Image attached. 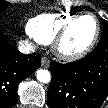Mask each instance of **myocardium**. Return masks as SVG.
Instances as JSON below:
<instances>
[{"instance_id":"myocardium-1","label":"myocardium","mask_w":108,"mask_h":108,"mask_svg":"<svg viewBox=\"0 0 108 108\" xmlns=\"http://www.w3.org/2000/svg\"><path fill=\"white\" fill-rule=\"evenodd\" d=\"M87 16L93 18L95 22V32L92 39L84 48L80 50L67 51L64 48L63 44L71 28L75 25L77 21ZM99 34H100V24L97 17L93 13H90V12L79 13L75 15L74 17H72L58 32V34L53 40V50L60 59L65 60V61H74V60L81 59L84 56H86L94 48L98 40Z\"/></svg>"}]
</instances>
